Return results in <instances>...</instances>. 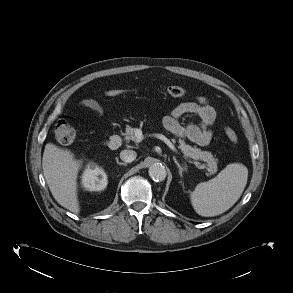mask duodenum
<instances>
[{"label": "duodenum", "instance_id": "duodenum-1", "mask_svg": "<svg viewBox=\"0 0 293 293\" xmlns=\"http://www.w3.org/2000/svg\"><path fill=\"white\" fill-rule=\"evenodd\" d=\"M106 146L111 150H116L121 145V138L117 135L110 136L106 142Z\"/></svg>", "mask_w": 293, "mask_h": 293}]
</instances>
